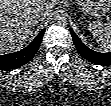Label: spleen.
Listing matches in <instances>:
<instances>
[{
    "label": "spleen",
    "mask_w": 111,
    "mask_h": 106,
    "mask_svg": "<svg viewBox=\"0 0 111 106\" xmlns=\"http://www.w3.org/2000/svg\"><path fill=\"white\" fill-rule=\"evenodd\" d=\"M89 30L105 50L111 51V23L94 21L89 24Z\"/></svg>",
    "instance_id": "obj_1"
}]
</instances>
